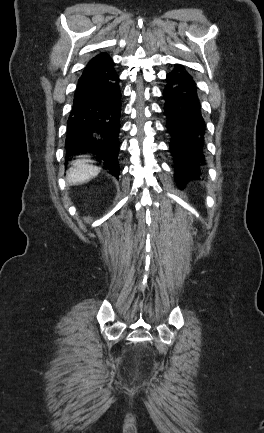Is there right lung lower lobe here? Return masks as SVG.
<instances>
[{
    "label": "right lung lower lobe",
    "mask_w": 264,
    "mask_h": 433,
    "mask_svg": "<svg viewBox=\"0 0 264 433\" xmlns=\"http://www.w3.org/2000/svg\"><path fill=\"white\" fill-rule=\"evenodd\" d=\"M112 59H91L78 80L67 122V156L91 152L118 178L121 92Z\"/></svg>",
    "instance_id": "1"
}]
</instances>
